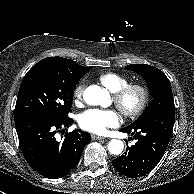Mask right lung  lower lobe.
Wrapping results in <instances>:
<instances>
[{"label": "right lung lower lobe", "instance_id": "obj_1", "mask_svg": "<svg viewBox=\"0 0 194 194\" xmlns=\"http://www.w3.org/2000/svg\"><path fill=\"white\" fill-rule=\"evenodd\" d=\"M73 119L53 118L44 113L15 116V126L22 153L33 170L55 179L70 173L79 163L83 148L91 141L80 129L66 133L64 140L55 139L56 129L69 127Z\"/></svg>", "mask_w": 194, "mask_h": 194}]
</instances>
